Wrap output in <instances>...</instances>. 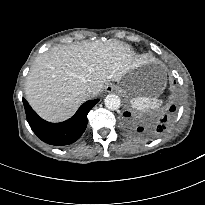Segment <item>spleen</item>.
<instances>
[{"label": "spleen", "instance_id": "1", "mask_svg": "<svg viewBox=\"0 0 205 205\" xmlns=\"http://www.w3.org/2000/svg\"><path fill=\"white\" fill-rule=\"evenodd\" d=\"M162 103V100L149 97H136L131 100V105L137 110H144L150 107H157Z\"/></svg>", "mask_w": 205, "mask_h": 205}]
</instances>
